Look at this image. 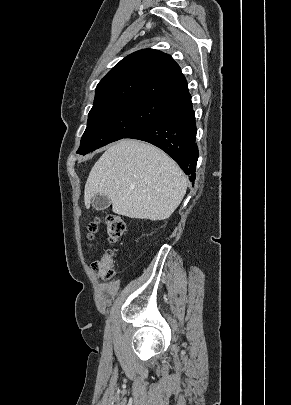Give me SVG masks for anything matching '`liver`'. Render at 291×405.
Masks as SVG:
<instances>
[{
  "label": "liver",
  "mask_w": 291,
  "mask_h": 405,
  "mask_svg": "<svg viewBox=\"0 0 291 405\" xmlns=\"http://www.w3.org/2000/svg\"><path fill=\"white\" fill-rule=\"evenodd\" d=\"M186 189V176L162 150L122 139L109 146L91 169L84 203L88 209L96 195H103L115 214L164 220L179 206Z\"/></svg>",
  "instance_id": "6515ba94"
}]
</instances>
